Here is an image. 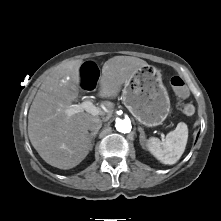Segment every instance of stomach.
<instances>
[{
    "label": "stomach",
    "mask_w": 221,
    "mask_h": 221,
    "mask_svg": "<svg viewBox=\"0 0 221 221\" xmlns=\"http://www.w3.org/2000/svg\"><path fill=\"white\" fill-rule=\"evenodd\" d=\"M122 97L125 107L147 127L162 124L170 112V99L161 73L150 65L139 68L125 83Z\"/></svg>",
    "instance_id": "stomach-1"
}]
</instances>
